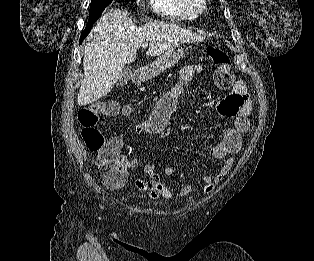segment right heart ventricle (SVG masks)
<instances>
[{
	"label": "right heart ventricle",
	"mask_w": 314,
	"mask_h": 261,
	"mask_svg": "<svg viewBox=\"0 0 314 261\" xmlns=\"http://www.w3.org/2000/svg\"><path fill=\"white\" fill-rule=\"evenodd\" d=\"M148 4L153 13L166 18L190 20L197 16L186 0H148Z\"/></svg>",
	"instance_id": "right-heart-ventricle-1"
}]
</instances>
